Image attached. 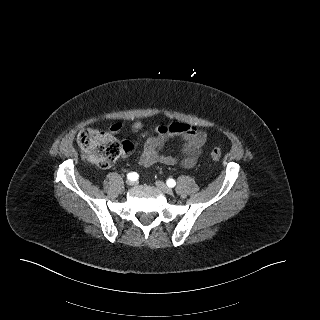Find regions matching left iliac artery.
<instances>
[{
	"label": "left iliac artery",
	"mask_w": 320,
	"mask_h": 320,
	"mask_svg": "<svg viewBox=\"0 0 320 320\" xmlns=\"http://www.w3.org/2000/svg\"><path fill=\"white\" fill-rule=\"evenodd\" d=\"M167 185H168L169 187H174V186L176 185V182H175V180H173V179H168V180H167Z\"/></svg>",
	"instance_id": "1"
}]
</instances>
